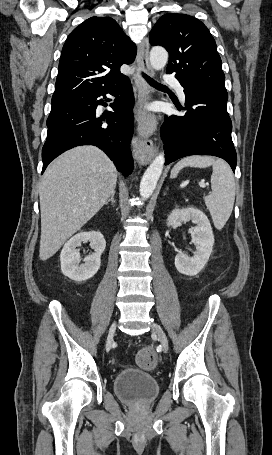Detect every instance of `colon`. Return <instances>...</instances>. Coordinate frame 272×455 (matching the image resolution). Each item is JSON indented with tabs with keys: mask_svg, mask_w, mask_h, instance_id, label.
<instances>
[{
	"mask_svg": "<svg viewBox=\"0 0 272 455\" xmlns=\"http://www.w3.org/2000/svg\"><path fill=\"white\" fill-rule=\"evenodd\" d=\"M136 362L143 369H152L156 365L157 356L151 347H144L138 351Z\"/></svg>",
	"mask_w": 272,
	"mask_h": 455,
	"instance_id": "obj_1",
	"label": "colon"
}]
</instances>
